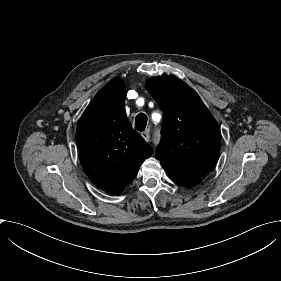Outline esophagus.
Returning <instances> with one entry per match:
<instances>
[{"label": "esophagus", "instance_id": "esophagus-1", "mask_svg": "<svg viewBox=\"0 0 281 281\" xmlns=\"http://www.w3.org/2000/svg\"><path fill=\"white\" fill-rule=\"evenodd\" d=\"M142 137L144 138L145 141H149L150 140V134L148 131H143L141 133Z\"/></svg>", "mask_w": 281, "mask_h": 281}]
</instances>
